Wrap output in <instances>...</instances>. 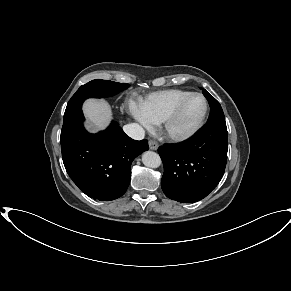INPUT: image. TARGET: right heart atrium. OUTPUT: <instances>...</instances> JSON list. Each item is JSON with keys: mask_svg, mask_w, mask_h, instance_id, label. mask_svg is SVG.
<instances>
[{"mask_svg": "<svg viewBox=\"0 0 291 291\" xmlns=\"http://www.w3.org/2000/svg\"><path fill=\"white\" fill-rule=\"evenodd\" d=\"M129 109H130V112L132 113V115L135 117V119L137 121L142 123L144 126H147V127L151 126V123L144 116V114L142 113V111H141L139 106L131 103L130 106H129Z\"/></svg>", "mask_w": 291, "mask_h": 291, "instance_id": "1", "label": "right heart atrium"}]
</instances>
